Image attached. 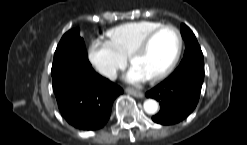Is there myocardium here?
<instances>
[{"instance_id":"f54148a6","label":"myocardium","mask_w":247,"mask_h":145,"mask_svg":"<svg viewBox=\"0 0 247 145\" xmlns=\"http://www.w3.org/2000/svg\"><path fill=\"white\" fill-rule=\"evenodd\" d=\"M166 29H170L172 31H174V33L176 34L177 37V49L175 52V55L173 57V59L171 60V62L160 72H158L157 74H155L154 76L150 77L149 79L152 81H158L163 79L164 77H166L168 74H170L173 69L176 67L181 54H182V50H183V37L182 34L180 32V30L170 24H165V25H161L155 29H153L152 31H150L147 35L144 36V38L131 50L128 59L129 62L131 64H133V60L134 58L144 52L148 46L150 45L151 41L153 40V38L161 31L166 30Z\"/></svg>"}]
</instances>
